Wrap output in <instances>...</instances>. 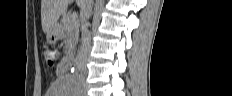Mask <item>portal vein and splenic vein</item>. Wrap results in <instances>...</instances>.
Returning <instances> with one entry per match:
<instances>
[{
  "label": "portal vein and splenic vein",
  "instance_id": "portal-vein-and-splenic-vein-1",
  "mask_svg": "<svg viewBox=\"0 0 232 96\" xmlns=\"http://www.w3.org/2000/svg\"><path fill=\"white\" fill-rule=\"evenodd\" d=\"M75 17H76V14L73 13V14L71 15V18H75Z\"/></svg>",
  "mask_w": 232,
  "mask_h": 96
}]
</instances>
